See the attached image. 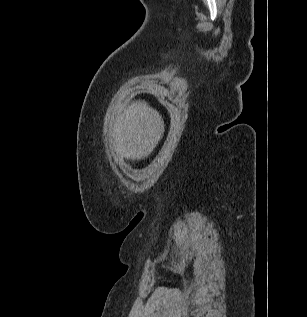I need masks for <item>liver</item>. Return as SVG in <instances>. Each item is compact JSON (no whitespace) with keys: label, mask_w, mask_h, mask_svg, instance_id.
Masks as SVG:
<instances>
[{"label":"liver","mask_w":307,"mask_h":317,"mask_svg":"<svg viewBox=\"0 0 307 317\" xmlns=\"http://www.w3.org/2000/svg\"><path fill=\"white\" fill-rule=\"evenodd\" d=\"M164 127L157 110L145 101H135L114 120V150L126 159H144L157 146L164 134Z\"/></svg>","instance_id":"1"}]
</instances>
